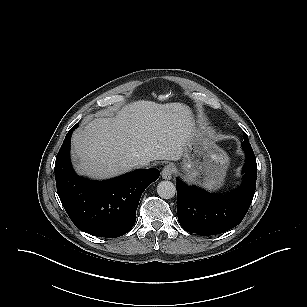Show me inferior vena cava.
<instances>
[{
	"label": "inferior vena cava",
	"mask_w": 307,
	"mask_h": 307,
	"mask_svg": "<svg viewBox=\"0 0 307 307\" xmlns=\"http://www.w3.org/2000/svg\"><path fill=\"white\" fill-rule=\"evenodd\" d=\"M149 163L145 160H138L135 162V166L137 167H144V166H147Z\"/></svg>",
	"instance_id": "obj_1"
}]
</instances>
